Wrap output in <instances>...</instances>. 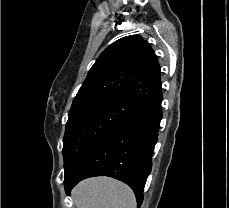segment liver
<instances>
[{
    "mask_svg": "<svg viewBox=\"0 0 229 208\" xmlns=\"http://www.w3.org/2000/svg\"><path fill=\"white\" fill-rule=\"evenodd\" d=\"M72 196L77 208H137L131 188L113 178L83 180Z\"/></svg>",
    "mask_w": 229,
    "mask_h": 208,
    "instance_id": "liver-1",
    "label": "liver"
}]
</instances>
